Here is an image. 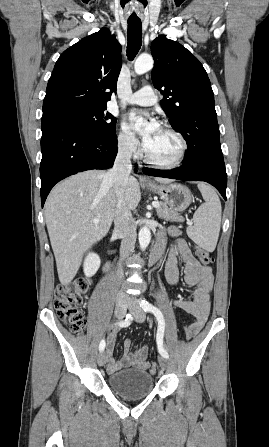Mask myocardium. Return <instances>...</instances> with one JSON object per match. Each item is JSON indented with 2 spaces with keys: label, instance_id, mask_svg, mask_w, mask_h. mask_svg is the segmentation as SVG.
Instances as JSON below:
<instances>
[{
  "label": "myocardium",
  "instance_id": "f54148a6",
  "mask_svg": "<svg viewBox=\"0 0 269 447\" xmlns=\"http://www.w3.org/2000/svg\"><path fill=\"white\" fill-rule=\"evenodd\" d=\"M162 128L170 131L171 133H173L175 136H177L179 138V140L181 141V149L180 152L176 158L175 161L171 162V163H162V162H158L156 160H154L148 153L146 145H145V141L142 144V148H143V154H144V160L148 163L151 164L153 166H156L158 168H162V169H175L178 168L179 166H181V164L183 163L187 151H188V140L185 137V135L183 133H181L179 130H177L176 128H174L171 125L165 124L163 126H161Z\"/></svg>",
  "mask_w": 269,
  "mask_h": 447
}]
</instances>
